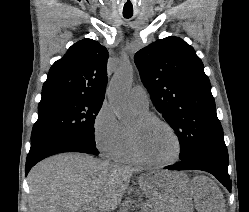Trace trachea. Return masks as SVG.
I'll return each instance as SVG.
<instances>
[{
  "mask_svg": "<svg viewBox=\"0 0 249 212\" xmlns=\"http://www.w3.org/2000/svg\"><path fill=\"white\" fill-rule=\"evenodd\" d=\"M132 15H133V13H123V16H124L125 18H131Z\"/></svg>",
  "mask_w": 249,
  "mask_h": 212,
  "instance_id": "trachea-1",
  "label": "trachea"
}]
</instances>
